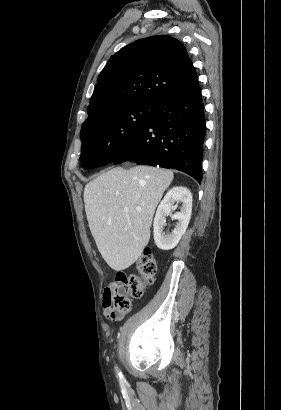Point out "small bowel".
I'll use <instances>...</instances> for the list:
<instances>
[{"label": "small bowel", "mask_w": 281, "mask_h": 410, "mask_svg": "<svg viewBox=\"0 0 281 410\" xmlns=\"http://www.w3.org/2000/svg\"><path fill=\"white\" fill-rule=\"evenodd\" d=\"M102 307L104 314L108 317V314L112 310L108 288H105L104 290Z\"/></svg>", "instance_id": "small-bowel-1"}]
</instances>
